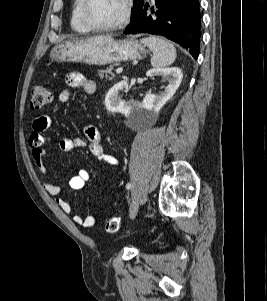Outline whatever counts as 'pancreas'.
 Wrapping results in <instances>:
<instances>
[{"label": "pancreas", "instance_id": "obj_1", "mask_svg": "<svg viewBox=\"0 0 267 301\" xmlns=\"http://www.w3.org/2000/svg\"><path fill=\"white\" fill-rule=\"evenodd\" d=\"M112 70H113V66H110L106 69H100L98 71V75L103 78L105 75L106 80H111L112 77H110V75H112Z\"/></svg>", "mask_w": 267, "mask_h": 301}]
</instances>
